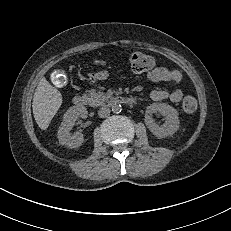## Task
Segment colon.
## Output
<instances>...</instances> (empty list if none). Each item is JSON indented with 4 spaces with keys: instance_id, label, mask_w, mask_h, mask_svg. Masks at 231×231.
Here are the masks:
<instances>
[{
    "instance_id": "colon-1",
    "label": "colon",
    "mask_w": 231,
    "mask_h": 231,
    "mask_svg": "<svg viewBox=\"0 0 231 231\" xmlns=\"http://www.w3.org/2000/svg\"><path fill=\"white\" fill-rule=\"evenodd\" d=\"M129 64L133 72L145 73L154 67L155 61L150 55L135 52L129 56ZM182 107L185 112L193 113L197 109V100L192 96H186L183 100Z\"/></svg>"
}]
</instances>
